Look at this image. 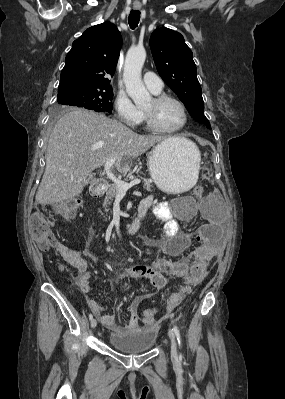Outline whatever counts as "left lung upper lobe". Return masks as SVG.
Wrapping results in <instances>:
<instances>
[{
    "label": "left lung upper lobe",
    "instance_id": "left-lung-upper-lobe-1",
    "mask_svg": "<svg viewBox=\"0 0 285 399\" xmlns=\"http://www.w3.org/2000/svg\"><path fill=\"white\" fill-rule=\"evenodd\" d=\"M149 45L161 78L184 103L192 118L211 128L204 115L202 90L193 53L183 36L166 27L157 28L151 34Z\"/></svg>",
    "mask_w": 285,
    "mask_h": 399
}]
</instances>
